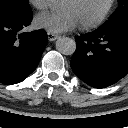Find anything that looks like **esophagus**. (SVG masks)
Wrapping results in <instances>:
<instances>
[{"label": "esophagus", "mask_w": 128, "mask_h": 128, "mask_svg": "<svg viewBox=\"0 0 128 128\" xmlns=\"http://www.w3.org/2000/svg\"><path fill=\"white\" fill-rule=\"evenodd\" d=\"M47 36H48V40L50 42L55 41L58 38V35H55V34L50 33V32L47 33Z\"/></svg>", "instance_id": "1"}]
</instances>
